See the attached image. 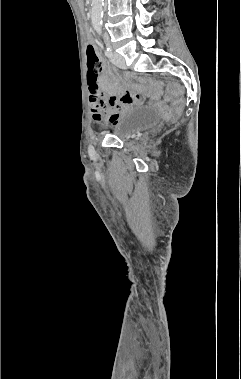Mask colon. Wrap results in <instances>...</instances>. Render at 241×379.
Segmentation results:
<instances>
[{"label":"colon","mask_w":241,"mask_h":379,"mask_svg":"<svg viewBox=\"0 0 241 379\" xmlns=\"http://www.w3.org/2000/svg\"><path fill=\"white\" fill-rule=\"evenodd\" d=\"M87 59V80L90 86H97L98 70H99V58L96 53L95 47L92 44H88L86 48ZM165 102V101H164ZM172 105L167 106L166 103H158L157 109L161 110L163 115L173 120L182 111L184 102L182 99L173 98Z\"/></svg>","instance_id":"1"}]
</instances>
